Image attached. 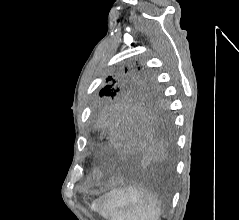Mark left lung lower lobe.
Listing matches in <instances>:
<instances>
[{
    "label": "left lung lower lobe",
    "mask_w": 239,
    "mask_h": 220,
    "mask_svg": "<svg viewBox=\"0 0 239 220\" xmlns=\"http://www.w3.org/2000/svg\"><path fill=\"white\" fill-rule=\"evenodd\" d=\"M95 123L108 166L162 164L171 158L173 135L165 112L116 106L103 110Z\"/></svg>",
    "instance_id": "0a47b994"
}]
</instances>
